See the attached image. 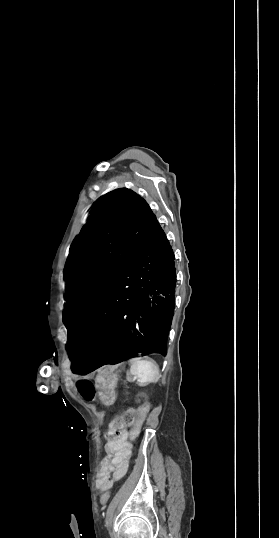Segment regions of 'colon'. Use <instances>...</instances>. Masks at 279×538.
<instances>
[{
	"label": "colon",
	"mask_w": 279,
	"mask_h": 538,
	"mask_svg": "<svg viewBox=\"0 0 279 538\" xmlns=\"http://www.w3.org/2000/svg\"><path fill=\"white\" fill-rule=\"evenodd\" d=\"M143 418L135 417L133 409H128L122 414L116 416L109 425L105 434L108 444L105 448L104 455L101 457L97 467V481H104L110 475L112 468V460L114 456L113 443L119 438L123 430L132 426L130 438L135 439L139 435L142 428ZM110 499L109 491H105L101 495V503L106 504Z\"/></svg>",
	"instance_id": "colon-1"
}]
</instances>
